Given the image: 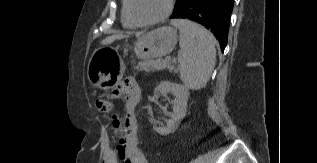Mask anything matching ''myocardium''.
<instances>
[{"instance_id":"myocardium-1","label":"myocardium","mask_w":317,"mask_h":163,"mask_svg":"<svg viewBox=\"0 0 317 163\" xmlns=\"http://www.w3.org/2000/svg\"><path fill=\"white\" fill-rule=\"evenodd\" d=\"M127 1H128L127 9H128V14L130 19L133 21L135 25L141 26V27L153 26L163 22L165 19H167L171 15L174 8V0H166L165 10L160 16L152 20L142 21V20H139L133 12V0H127Z\"/></svg>"}]
</instances>
